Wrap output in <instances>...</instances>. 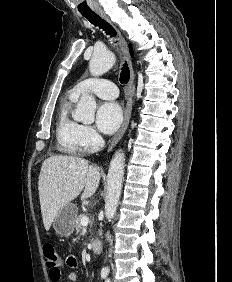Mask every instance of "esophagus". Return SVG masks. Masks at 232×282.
Here are the masks:
<instances>
[{"label":"esophagus","instance_id":"34e87169","mask_svg":"<svg viewBox=\"0 0 232 282\" xmlns=\"http://www.w3.org/2000/svg\"><path fill=\"white\" fill-rule=\"evenodd\" d=\"M96 13L102 19L107 21L109 24H111L116 29L118 36H119V39H120L122 51L124 53V56L127 59L129 69H130V78H129V81H128L127 93H126L127 104H126V108H125V111H124L123 122H122L120 129L118 130L116 135L113 137V139L111 140V142L108 146L107 150H108V152H110L117 145V143L120 141V139L123 137L124 133L126 132V130L128 128L129 122H130L131 113H132L133 95H134V90H135V86H134L135 73H134L132 60H131V56H130L129 49H128V44H127L125 38L123 37L121 32L116 28V26L111 22V20L105 14L104 11L97 10Z\"/></svg>","mask_w":232,"mask_h":282}]
</instances>
